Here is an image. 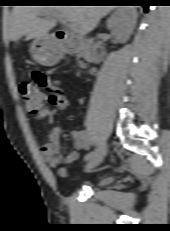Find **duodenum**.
<instances>
[{
  "label": "duodenum",
  "mask_w": 170,
  "mask_h": 231,
  "mask_svg": "<svg viewBox=\"0 0 170 231\" xmlns=\"http://www.w3.org/2000/svg\"><path fill=\"white\" fill-rule=\"evenodd\" d=\"M53 36L60 52L66 54L80 53L82 59L89 63L98 61V49L93 41L72 36L64 30L54 32Z\"/></svg>",
  "instance_id": "1"
}]
</instances>
